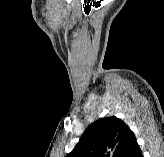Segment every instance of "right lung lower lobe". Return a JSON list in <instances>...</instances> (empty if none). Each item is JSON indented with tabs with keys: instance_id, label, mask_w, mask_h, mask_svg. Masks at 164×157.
<instances>
[{
	"instance_id": "obj_1",
	"label": "right lung lower lobe",
	"mask_w": 164,
	"mask_h": 157,
	"mask_svg": "<svg viewBox=\"0 0 164 157\" xmlns=\"http://www.w3.org/2000/svg\"><path fill=\"white\" fill-rule=\"evenodd\" d=\"M123 157H143L136 140L130 145Z\"/></svg>"
}]
</instances>
